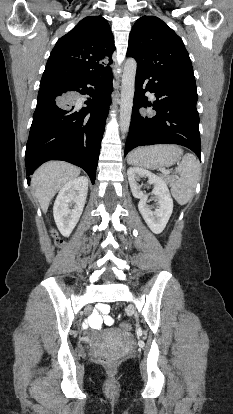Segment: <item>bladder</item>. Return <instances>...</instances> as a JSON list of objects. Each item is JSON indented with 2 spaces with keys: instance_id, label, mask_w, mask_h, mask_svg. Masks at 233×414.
Wrapping results in <instances>:
<instances>
[{
  "instance_id": "31cf9c89",
  "label": "bladder",
  "mask_w": 233,
  "mask_h": 414,
  "mask_svg": "<svg viewBox=\"0 0 233 414\" xmlns=\"http://www.w3.org/2000/svg\"><path fill=\"white\" fill-rule=\"evenodd\" d=\"M103 335H112L114 334V332L112 330L109 331H105L104 333H102Z\"/></svg>"
}]
</instances>
